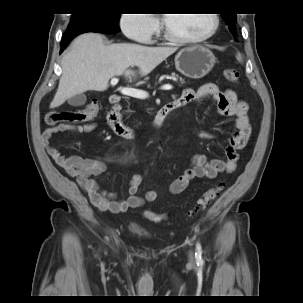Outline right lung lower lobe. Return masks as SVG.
Returning a JSON list of instances; mask_svg holds the SVG:
<instances>
[{"label": "right lung lower lobe", "instance_id": "98d812e1", "mask_svg": "<svg viewBox=\"0 0 303 303\" xmlns=\"http://www.w3.org/2000/svg\"><path fill=\"white\" fill-rule=\"evenodd\" d=\"M118 31L119 27L111 24H87L73 30L66 31L62 38L60 53H62L71 40L79 34L86 32L113 34L117 33Z\"/></svg>", "mask_w": 303, "mask_h": 303}]
</instances>
